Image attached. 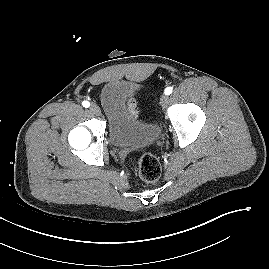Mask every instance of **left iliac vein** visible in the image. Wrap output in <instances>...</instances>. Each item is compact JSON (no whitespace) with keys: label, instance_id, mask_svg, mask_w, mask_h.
Listing matches in <instances>:
<instances>
[{"label":"left iliac vein","instance_id":"1","mask_svg":"<svg viewBox=\"0 0 269 269\" xmlns=\"http://www.w3.org/2000/svg\"><path fill=\"white\" fill-rule=\"evenodd\" d=\"M168 102H169L168 96L166 94L165 95H162L161 98H160V104H161V106L163 108L167 107Z\"/></svg>","mask_w":269,"mask_h":269}]
</instances>
